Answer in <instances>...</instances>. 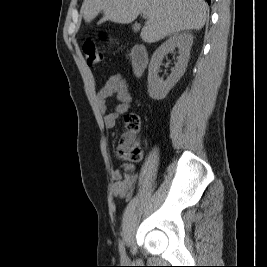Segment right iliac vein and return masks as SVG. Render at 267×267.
Listing matches in <instances>:
<instances>
[{
  "instance_id": "63e3f726",
  "label": "right iliac vein",
  "mask_w": 267,
  "mask_h": 267,
  "mask_svg": "<svg viewBox=\"0 0 267 267\" xmlns=\"http://www.w3.org/2000/svg\"><path fill=\"white\" fill-rule=\"evenodd\" d=\"M121 259H122L123 261H125V260H126V255L122 256Z\"/></svg>"
}]
</instances>
